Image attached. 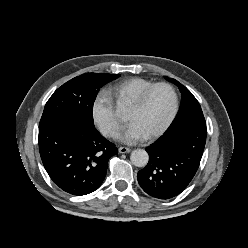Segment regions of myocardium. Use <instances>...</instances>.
<instances>
[{
  "mask_svg": "<svg viewBox=\"0 0 248 248\" xmlns=\"http://www.w3.org/2000/svg\"><path fill=\"white\" fill-rule=\"evenodd\" d=\"M158 87H166L170 90L172 97H173V104H172V110L170 112V115L168 117V119L166 120V122L162 125V127L160 129H158L156 132H154L153 134L149 135L146 137L147 140H154L159 138L160 136H162L167 130L168 128L171 126V124L173 123L177 111H178V105H179V100H178V94L175 90V88L167 83V82H157L152 84L151 86H149L148 88H146L144 91H142L140 93V95L136 98V100L129 106L130 109L134 110V111H138L140 110L148 96L150 95V93Z\"/></svg>",
  "mask_w": 248,
  "mask_h": 248,
  "instance_id": "1",
  "label": "myocardium"
}]
</instances>
